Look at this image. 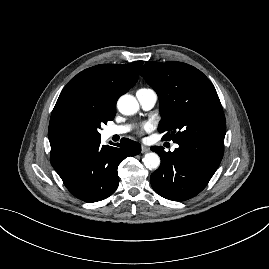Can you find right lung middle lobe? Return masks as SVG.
I'll list each match as a JSON object with an SVG mask.
<instances>
[{
	"label": "right lung middle lobe",
	"mask_w": 269,
	"mask_h": 269,
	"mask_svg": "<svg viewBox=\"0 0 269 269\" xmlns=\"http://www.w3.org/2000/svg\"><path fill=\"white\" fill-rule=\"evenodd\" d=\"M114 116H97L94 118L89 119L86 122V130L88 134V139H97L100 138L99 129L101 128V125L107 124L108 120H113Z\"/></svg>",
	"instance_id": "obj_1"
}]
</instances>
